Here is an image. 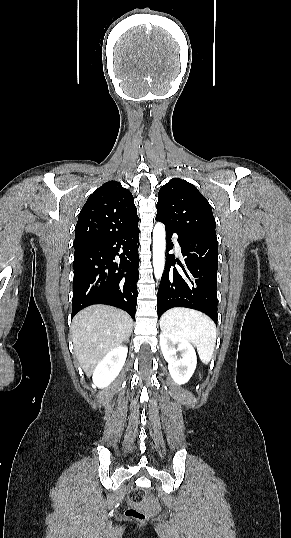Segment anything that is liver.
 Listing matches in <instances>:
<instances>
[{
	"label": "liver",
	"mask_w": 291,
	"mask_h": 538,
	"mask_svg": "<svg viewBox=\"0 0 291 538\" xmlns=\"http://www.w3.org/2000/svg\"><path fill=\"white\" fill-rule=\"evenodd\" d=\"M132 329V318L111 306H90L73 318L74 355L88 377L108 352L128 341Z\"/></svg>",
	"instance_id": "obj_1"
}]
</instances>
